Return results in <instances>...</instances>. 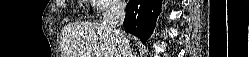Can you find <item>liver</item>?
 Here are the masks:
<instances>
[{
	"label": "liver",
	"instance_id": "1",
	"mask_svg": "<svg viewBox=\"0 0 249 57\" xmlns=\"http://www.w3.org/2000/svg\"><path fill=\"white\" fill-rule=\"evenodd\" d=\"M61 40L62 57H122L116 37L101 23H69Z\"/></svg>",
	"mask_w": 249,
	"mask_h": 57
}]
</instances>
